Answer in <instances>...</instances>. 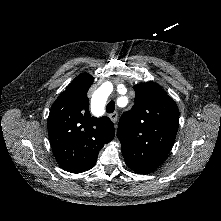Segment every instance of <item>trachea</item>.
<instances>
[{"mask_svg": "<svg viewBox=\"0 0 221 221\" xmlns=\"http://www.w3.org/2000/svg\"><path fill=\"white\" fill-rule=\"evenodd\" d=\"M114 110H115V102L111 100L106 106V112L112 113L114 112Z\"/></svg>", "mask_w": 221, "mask_h": 221, "instance_id": "3493384b", "label": "trachea"}]
</instances>
